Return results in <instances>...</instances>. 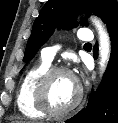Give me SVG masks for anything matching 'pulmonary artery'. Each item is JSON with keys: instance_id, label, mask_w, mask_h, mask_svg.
<instances>
[{"instance_id": "1", "label": "pulmonary artery", "mask_w": 118, "mask_h": 123, "mask_svg": "<svg viewBox=\"0 0 118 123\" xmlns=\"http://www.w3.org/2000/svg\"><path fill=\"white\" fill-rule=\"evenodd\" d=\"M78 38L81 41H90L92 39L91 30L88 28L81 29L78 32ZM58 49V46L46 47L42 49L41 56L44 60L51 62L54 59Z\"/></svg>"}]
</instances>
